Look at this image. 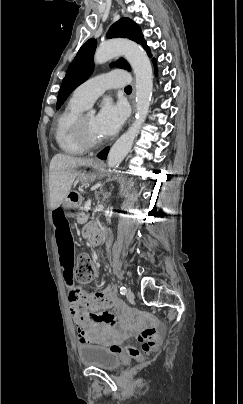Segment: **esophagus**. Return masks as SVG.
<instances>
[{
  "instance_id": "1",
  "label": "esophagus",
  "mask_w": 243,
  "mask_h": 404,
  "mask_svg": "<svg viewBox=\"0 0 243 404\" xmlns=\"http://www.w3.org/2000/svg\"><path fill=\"white\" fill-rule=\"evenodd\" d=\"M135 96H136V92H135V88H133V92H132V108H133V115H134L135 107H136Z\"/></svg>"
}]
</instances>
